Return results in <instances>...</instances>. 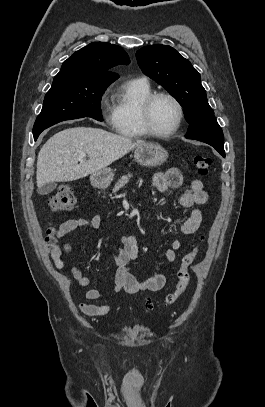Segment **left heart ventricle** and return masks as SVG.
I'll return each instance as SVG.
<instances>
[{
	"mask_svg": "<svg viewBox=\"0 0 265 407\" xmlns=\"http://www.w3.org/2000/svg\"><path fill=\"white\" fill-rule=\"evenodd\" d=\"M152 124L158 131L165 132L174 127L178 119V109L168 97L155 100L151 111Z\"/></svg>",
	"mask_w": 265,
	"mask_h": 407,
	"instance_id": "obj_1",
	"label": "left heart ventricle"
}]
</instances>
